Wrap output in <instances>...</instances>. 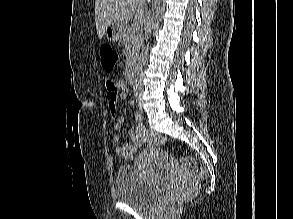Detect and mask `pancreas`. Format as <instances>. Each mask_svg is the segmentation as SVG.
<instances>
[{
	"label": "pancreas",
	"instance_id": "obj_1",
	"mask_svg": "<svg viewBox=\"0 0 293 219\" xmlns=\"http://www.w3.org/2000/svg\"><path fill=\"white\" fill-rule=\"evenodd\" d=\"M140 42V31L134 27H128L123 36V43L126 50V69H130L135 65L140 49Z\"/></svg>",
	"mask_w": 293,
	"mask_h": 219
}]
</instances>
